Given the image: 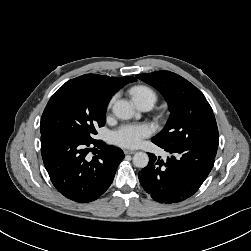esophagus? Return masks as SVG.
Segmentation results:
<instances>
[{"label":"esophagus","instance_id":"esophagus-1","mask_svg":"<svg viewBox=\"0 0 251 251\" xmlns=\"http://www.w3.org/2000/svg\"><path fill=\"white\" fill-rule=\"evenodd\" d=\"M124 153L125 154H134V153H136V151L135 150L126 149V150H124Z\"/></svg>","mask_w":251,"mask_h":251}]
</instances>
